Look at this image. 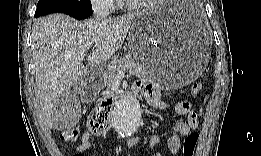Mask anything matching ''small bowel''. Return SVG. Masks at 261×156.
<instances>
[{"label": "small bowel", "mask_w": 261, "mask_h": 156, "mask_svg": "<svg viewBox=\"0 0 261 156\" xmlns=\"http://www.w3.org/2000/svg\"><path fill=\"white\" fill-rule=\"evenodd\" d=\"M136 90L142 92L150 105L161 110H167L169 104L161 100L158 89L149 83L137 82ZM175 112L180 116H187V121L176 122L171 130V135L167 140V147L172 155H177L181 148L180 136L188 137L194 133L198 127L199 119L197 113L192 109L191 103L187 100L180 101L175 106ZM159 138L153 136L150 140V152L152 155H159L155 149ZM91 146V135L85 132L76 149V156H83V153Z\"/></svg>", "instance_id": "small-bowel-1"}]
</instances>
